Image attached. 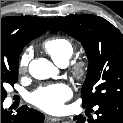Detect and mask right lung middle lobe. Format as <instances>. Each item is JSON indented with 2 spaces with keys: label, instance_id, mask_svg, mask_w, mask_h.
Wrapping results in <instances>:
<instances>
[{
  "label": "right lung middle lobe",
  "instance_id": "dd1d6c3e",
  "mask_svg": "<svg viewBox=\"0 0 123 123\" xmlns=\"http://www.w3.org/2000/svg\"><path fill=\"white\" fill-rule=\"evenodd\" d=\"M22 49L18 50L13 56L1 58V101L7 96L5 87L9 84L13 86L18 80V59Z\"/></svg>",
  "mask_w": 123,
  "mask_h": 123
}]
</instances>
